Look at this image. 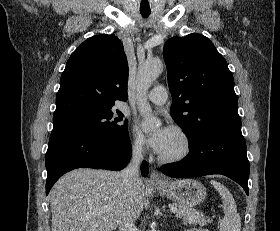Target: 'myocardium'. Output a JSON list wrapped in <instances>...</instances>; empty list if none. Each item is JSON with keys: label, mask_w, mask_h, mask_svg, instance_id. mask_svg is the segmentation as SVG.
I'll return each instance as SVG.
<instances>
[{"label": "myocardium", "mask_w": 280, "mask_h": 231, "mask_svg": "<svg viewBox=\"0 0 280 231\" xmlns=\"http://www.w3.org/2000/svg\"><path fill=\"white\" fill-rule=\"evenodd\" d=\"M173 131L181 143L180 149L170 155H160L159 160L166 164L178 163L186 159L193 150L192 138L188 132L179 128L173 127Z\"/></svg>", "instance_id": "1"}]
</instances>
